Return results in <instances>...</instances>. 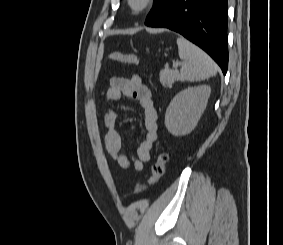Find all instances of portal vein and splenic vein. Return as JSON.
<instances>
[{
    "mask_svg": "<svg viewBox=\"0 0 283 245\" xmlns=\"http://www.w3.org/2000/svg\"><path fill=\"white\" fill-rule=\"evenodd\" d=\"M181 65V63L178 62H173V68L177 69V67Z\"/></svg>",
    "mask_w": 283,
    "mask_h": 245,
    "instance_id": "portal-vein-and-splenic-vein-1",
    "label": "portal vein and splenic vein"
}]
</instances>
